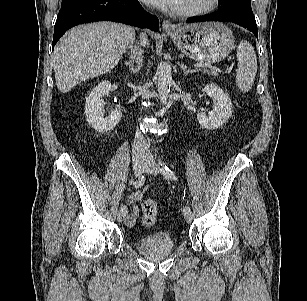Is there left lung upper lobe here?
Returning <instances> with one entry per match:
<instances>
[{"mask_svg":"<svg viewBox=\"0 0 307 301\" xmlns=\"http://www.w3.org/2000/svg\"><path fill=\"white\" fill-rule=\"evenodd\" d=\"M218 11L252 10L251 0H219Z\"/></svg>","mask_w":307,"mask_h":301,"instance_id":"5c2ea615","label":"left lung upper lobe"}]
</instances>
